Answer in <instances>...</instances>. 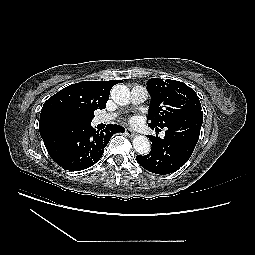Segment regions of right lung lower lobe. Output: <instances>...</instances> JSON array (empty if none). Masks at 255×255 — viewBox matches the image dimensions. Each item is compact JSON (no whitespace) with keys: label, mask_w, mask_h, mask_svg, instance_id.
<instances>
[{"label":"right lung lower lobe","mask_w":255,"mask_h":255,"mask_svg":"<svg viewBox=\"0 0 255 255\" xmlns=\"http://www.w3.org/2000/svg\"><path fill=\"white\" fill-rule=\"evenodd\" d=\"M119 125L109 124L103 131L96 132L91 122L81 123L75 128L58 125L41 133L50 157L63 169L80 171L97 163L104 148L116 132H124Z\"/></svg>","instance_id":"right-lung-lower-lobe-1"}]
</instances>
